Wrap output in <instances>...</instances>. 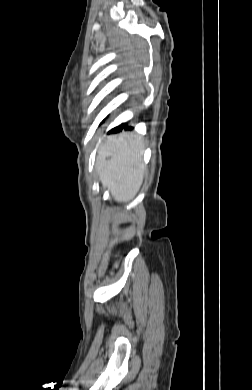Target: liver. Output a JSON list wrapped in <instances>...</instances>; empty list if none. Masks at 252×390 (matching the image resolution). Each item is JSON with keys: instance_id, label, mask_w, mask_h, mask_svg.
I'll return each instance as SVG.
<instances>
[{"instance_id": "liver-1", "label": "liver", "mask_w": 252, "mask_h": 390, "mask_svg": "<svg viewBox=\"0 0 252 390\" xmlns=\"http://www.w3.org/2000/svg\"><path fill=\"white\" fill-rule=\"evenodd\" d=\"M143 151L142 138L131 133L110 135L99 147L96 170L117 202H129L139 191L145 171Z\"/></svg>"}]
</instances>
